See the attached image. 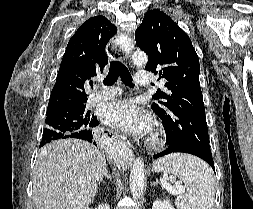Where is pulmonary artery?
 Masks as SVG:
<instances>
[{
  "mask_svg": "<svg viewBox=\"0 0 253 209\" xmlns=\"http://www.w3.org/2000/svg\"><path fill=\"white\" fill-rule=\"evenodd\" d=\"M150 73L148 71H138L135 75V83L139 86H145L150 83ZM120 90L114 87H107L105 89L94 92L90 96V101L95 103L98 101H105L120 95Z\"/></svg>",
  "mask_w": 253,
  "mask_h": 209,
  "instance_id": "1",
  "label": "pulmonary artery"
}]
</instances>
